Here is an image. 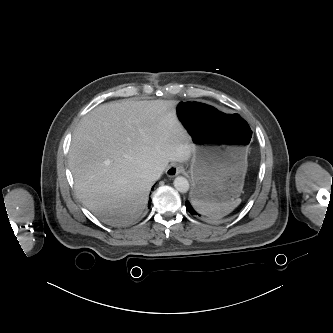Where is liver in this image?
<instances>
[{
    "label": "liver",
    "mask_w": 333,
    "mask_h": 333,
    "mask_svg": "<svg viewBox=\"0 0 333 333\" xmlns=\"http://www.w3.org/2000/svg\"><path fill=\"white\" fill-rule=\"evenodd\" d=\"M174 100L102 104L73 132L69 166L82 203L108 224H129L148 203L147 170L187 162L195 146Z\"/></svg>",
    "instance_id": "1"
}]
</instances>
